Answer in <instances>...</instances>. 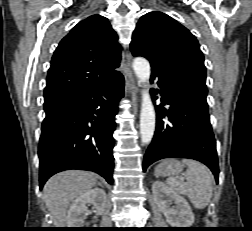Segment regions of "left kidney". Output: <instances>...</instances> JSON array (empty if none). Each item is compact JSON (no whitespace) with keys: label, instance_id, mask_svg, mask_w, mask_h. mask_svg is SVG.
<instances>
[{"label":"left kidney","instance_id":"left-kidney-1","mask_svg":"<svg viewBox=\"0 0 252 231\" xmlns=\"http://www.w3.org/2000/svg\"><path fill=\"white\" fill-rule=\"evenodd\" d=\"M152 192L159 210L172 227L189 228L194 223L192 209L185 198L159 181L153 183ZM172 203L174 207H171Z\"/></svg>","mask_w":252,"mask_h":231}]
</instances>
